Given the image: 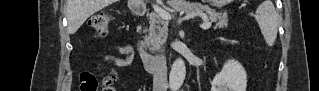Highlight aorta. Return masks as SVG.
<instances>
[{"label": "aorta", "mask_w": 319, "mask_h": 91, "mask_svg": "<svg viewBox=\"0 0 319 91\" xmlns=\"http://www.w3.org/2000/svg\"><path fill=\"white\" fill-rule=\"evenodd\" d=\"M186 76V66L183 59L178 58L175 60L171 67L170 76H169V85L173 91L179 89Z\"/></svg>", "instance_id": "1"}]
</instances>
